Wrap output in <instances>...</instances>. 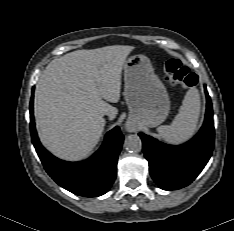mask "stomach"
I'll use <instances>...</instances> for the list:
<instances>
[{
  "instance_id": "1",
  "label": "stomach",
  "mask_w": 234,
  "mask_h": 231,
  "mask_svg": "<svg viewBox=\"0 0 234 231\" xmlns=\"http://www.w3.org/2000/svg\"><path fill=\"white\" fill-rule=\"evenodd\" d=\"M124 98L129 118L147 127L160 125L168 116L170 99L148 57L134 55L124 62Z\"/></svg>"
}]
</instances>
